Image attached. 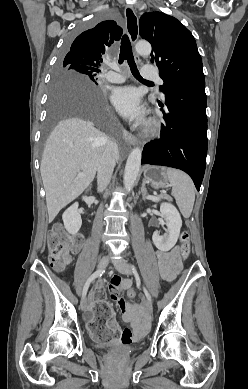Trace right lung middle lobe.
Here are the masks:
<instances>
[{
    "label": "right lung middle lobe",
    "mask_w": 248,
    "mask_h": 389,
    "mask_svg": "<svg viewBox=\"0 0 248 389\" xmlns=\"http://www.w3.org/2000/svg\"><path fill=\"white\" fill-rule=\"evenodd\" d=\"M83 28V26H81ZM99 71L90 70L86 67L58 64L55 73L56 86H68L69 84L84 83L89 86L97 84L96 76ZM83 116L95 122H101L105 113L100 105L88 102L64 101L52 99L49 106L48 131L60 120L71 116Z\"/></svg>",
    "instance_id": "right-lung-middle-lobe-1"
}]
</instances>
